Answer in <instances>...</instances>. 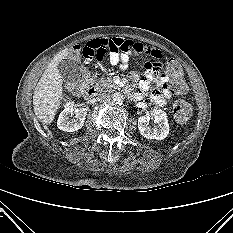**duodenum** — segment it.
I'll return each mask as SVG.
<instances>
[{
    "label": "duodenum",
    "mask_w": 233,
    "mask_h": 233,
    "mask_svg": "<svg viewBox=\"0 0 233 233\" xmlns=\"http://www.w3.org/2000/svg\"><path fill=\"white\" fill-rule=\"evenodd\" d=\"M127 93L130 95V96H134L133 92L132 91H127ZM97 94V89L95 87H89L87 89H85L83 91V96L86 98V99H92L96 96Z\"/></svg>",
    "instance_id": "obj_1"
}]
</instances>
